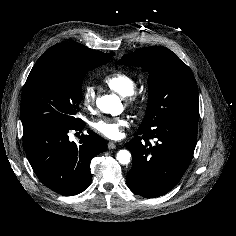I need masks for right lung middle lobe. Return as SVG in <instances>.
<instances>
[{
    "instance_id": "dd1d6c3e",
    "label": "right lung middle lobe",
    "mask_w": 236,
    "mask_h": 236,
    "mask_svg": "<svg viewBox=\"0 0 236 236\" xmlns=\"http://www.w3.org/2000/svg\"><path fill=\"white\" fill-rule=\"evenodd\" d=\"M111 56L73 60L57 55H42L25 83L21 101L23 125L48 120L78 125L76 117L81 101L85 73L107 63Z\"/></svg>"
}]
</instances>
